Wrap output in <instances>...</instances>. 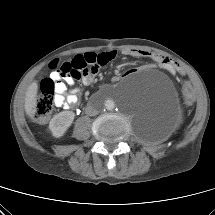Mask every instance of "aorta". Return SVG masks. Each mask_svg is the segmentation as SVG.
Here are the masks:
<instances>
[{
    "mask_svg": "<svg viewBox=\"0 0 215 215\" xmlns=\"http://www.w3.org/2000/svg\"><path fill=\"white\" fill-rule=\"evenodd\" d=\"M124 86H118L113 91L103 92L99 97V107L101 110L113 111L118 107V102L122 100V90Z\"/></svg>",
    "mask_w": 215,
    "mask_h": 215,
    "instance_id": "aorta-1",
    "label": "aorta"
}]
</instances>
